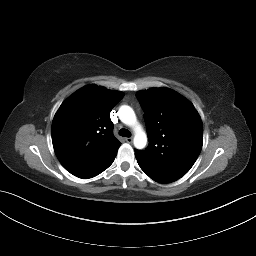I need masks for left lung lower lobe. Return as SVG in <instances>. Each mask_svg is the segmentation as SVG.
Returning a JSON list of instances; mask_svg holds the SVG:
<instances>
[{
	"mask_svg": "<svg viewBox=\"0 0 256 256\" xmlns=\"http://www.w3.org/2000/svg\"><path fill=\"white\" fill-rule=\"evenodd\" d=\"M135 156H136V153H135ZM137 158V161H138V164L139 166L141 167V169L153 180H155L156 182H159V183H170V182H173V181H176L177 179H174V178H170V177H165V176H161V175H158V174H154V173H151L150 171H148L143 165L142 163L139 161L138 157Z\"/></svg>",
	"mask_w": 256,
	"mask_h": 256,
	"instance_id": "obj_1",
	"label": "left lung lower lobe"
}]
</instances>
